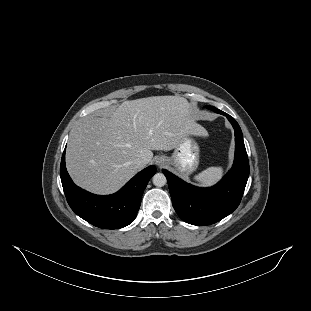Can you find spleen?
<instances>
[{"label": "spleen", "mask_w": 311, "mask_h": 311, "mask_svg": "<svg viewBox=\"0 0 311 311\" xmlns=\"http://www.w3.org/2000/svg\"><path fill=\"white\" fill-rule=\"evenodd\" d=\"M220 168H208L199 174L196 179L204 183H211L217 180L221 176Z\"/></svg>", "instance_id": "obj_1"}]
</instances>
